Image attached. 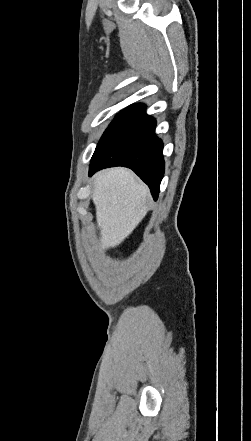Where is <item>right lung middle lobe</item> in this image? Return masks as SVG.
<instances>
[{"instance_id":"dd1d6c3e","label":"right lung middle lobe","mask_w":251,"mask_h":441,"mask_svg":"<svg viewBox=\"0 0 251 441\" xmlns=\"http://www.w3.org/2000/svg\"><path fill=\"white\" fill-rule=\"evenodd\" d=\"M124 110H125V109H124ZM124 110H123V111H124ZM123 111H121V112H120V113H119V114L113 119V121L111 122V124L109 125V127H110V126L114 123V121H115V120H116V119L122 114ZM109 127H108V128H109ZM108 128H107V129H108ZM105 132H106V131H105Z\"/></svg>"}]
</instances>
